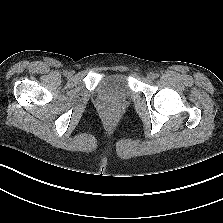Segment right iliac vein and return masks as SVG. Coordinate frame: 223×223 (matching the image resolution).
<instances>
[{
  "label": "right iliac vein",
  "instance_id": "obj_1",
  "mask_svg": "<svg viewBox=\"0 0 223 223\" xmlns=\"http://www.w3.org/2000/svg\"><path fill=\"white\" fill-rule=\"evenodd\" d=\"M67 75H71V73H69V72H68V74H67Z\"/></svg>",
  "mask_w": 223,
  "mask_h": 223
}]
</instances>
